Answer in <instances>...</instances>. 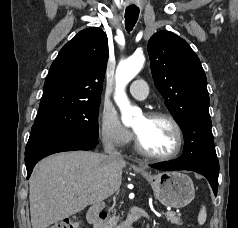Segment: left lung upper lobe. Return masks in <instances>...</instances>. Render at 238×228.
<instances>
[{"label":"left lung upper lobe","instance_id":"left-lung-upper-lobe-1","mask_svg":"<svg viewBox=\"0 0 238 228\" xmlns=\"http://www.w3.org/2000/svg\"><path fill=\"white\" fill-rule=\"evenodd\" d=\"M147 48L155 86L184 135L179 162L217 163L207 79L198 56L184 39L169 31L155 33Z\"/></svg>","mask_w":238,"mask_h":228}]
</instances>
